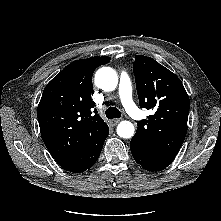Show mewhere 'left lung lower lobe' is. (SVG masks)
Wrapping results in <instances>:
<instances>
[{
	"mask_svg": "<svg viewBox=\"0 0 221 221\" xmlns=\"http://www.w3.org/2000/svg\"><path fill=\"white\" fill-rule=\"evenodd\" d=\"M130 148L135 161L148 171H159L166 168L173 159L154 156L131 140Z\"/></svg>",
	"mask_w": 221,
	"mask_h": 221,
	"instance_id": "0a47b994",
	"label": "left lung lower lobe"
}]
</instances>
